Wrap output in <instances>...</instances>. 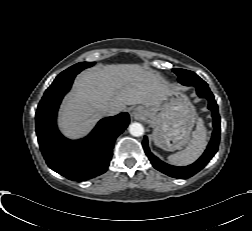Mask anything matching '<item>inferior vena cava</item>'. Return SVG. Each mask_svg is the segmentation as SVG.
<instances>
[{
  "instance_id": "inferior-vena-cava-1",
  "label": "inferior vena cava",
  "mask_w": 252,
  "mask_h": 231,
  "mask_svg": "<svg viewBox=\"0 0 252 231\" xmlns=\"http://www.w3.org/2000/svg\"><path fill=\"white\" fill-rule=\"evenodd\" d=\"M118 112H120V109L117 107H104V108H102V113L104 115L112 116V115L117 114Z\"/></svg>"
}]
</instances>
